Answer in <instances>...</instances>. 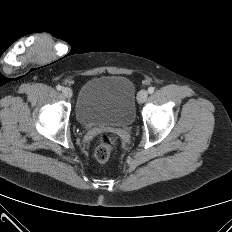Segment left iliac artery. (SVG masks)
<instances>
[{"label": "left iliac artery", "mask_w": 232, "mask_h": 232, "mask_svg": "<svg viewBox=\"0 0 232 232\" xmlns=\"http://www.w3.org/2000/svg\"><path fill=\"white\" fill-rule=\"evenodd\" d=\"M154 90H155L154 87H149V88H148V92H149L150 94H152V93L154 92Z\"/></svg>", "instance_id": "1"}]
</instances>
